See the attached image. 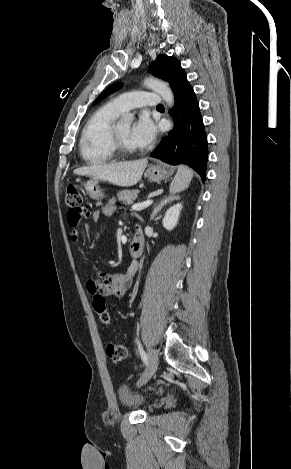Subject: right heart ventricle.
<instances>
[{
    "mask_svg": "<svg viewBox=\"0 0 291 469\" xmlns=\"http://www.w3.org/2000/svg\"><path fill=\"white\" fill-rule=\"evenodd\" d=\"M121 112L111 103L99 107L85 123L79 140V152L88 164H102L115 158L110 131Z\"/></svg>",
    "mask_w": 291,
    "mask_h": 469,
    "instance_id": "e07e8e85",
    "label": "right heart ventricle"
}]
</instances>
